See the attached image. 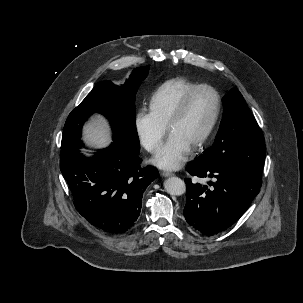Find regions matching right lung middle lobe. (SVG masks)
<instances>
[{
    "instance_id": "right-lung-middle-lobe-1",
    "label": "right lung middle lobe",
    "mask_w": 303,
    "mask_h": 303,
    "mask_svg": "<svg viewBox=\"0 0 303 303\" xmlns=\"http://www.w3.org/2000/svg\"><path fill=\"white\" fill-rule=\"evenodd\" d=\"M148 66L138 67L121 87L110 81L96 84L86 98L68 116L62 136L61 148L79 140L81 129L87 118L95 112L110 121L113 141L130 153L138 154L139 140L135 127V94L141 80L148 73Z\"/></svg>"
}]
</instances>
